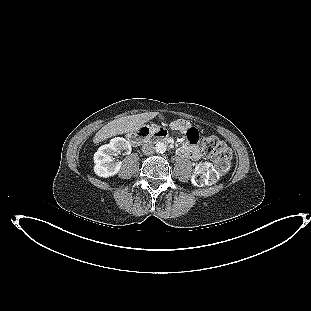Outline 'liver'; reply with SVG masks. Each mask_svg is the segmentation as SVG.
<instances>
[{
	"mask_svg": "<svg viewBox=\"0 0 311 311\" xmlns=\"http://www.w3.org/2000/svg\"><path fill=\"white\" fill-rule=\"evenodd\" d=\"M157 115L155 112L141 113L115 119L103 126L95 135L93 142L98 144L112 136L137 132L145 123Z\"/></svg>",
	"mask_w": 311,
	"mask_h": 311,
	"instance_id": "obj_1",
	"label": "liver"
}]
</instances>
